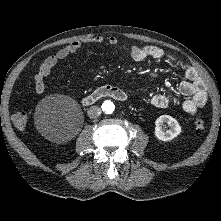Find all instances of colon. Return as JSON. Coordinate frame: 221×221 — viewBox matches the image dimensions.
<instances>
[{
    "label": "colon",
    "instance_id": "obj_1",
    "mask_svg": "<svg viewBox=\"0 0 221 221\" xmlns=\"http://www.w3.org/2000/svg\"><path fill=\"white\" fill-rule=\"evenodd\" d=\"M13 123L19 129H23L27 123V115L24 112H17L13 115ZM194 128L198 132H204L206 129L205 122L201 119H197L194 122Z\"/></svg>",
    "mask_w": 221,
    "mask_h": 221
}]
</instances>
